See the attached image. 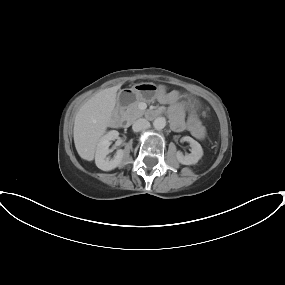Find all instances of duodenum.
<instances>
[{
    "instance_id": "duodenum-1",
    "label": "duodenum",
    "mask_w": 285,
    "mask_h": 285,
    "mask_svg": "<svg viewBox=\"0 0 285 285\" xmlns=\"http://www.w3.org/2000/svg\"><path fill=\"white\" fill-rule=\"evenodd\" d=\"M160 114V111L159 110H149L147 112H145V117L146 118H149V119H153V118H157ZM118 123L121 125V126H128V122L123 120L122 118H118Z\"/></svg>"
}]
</instances>
